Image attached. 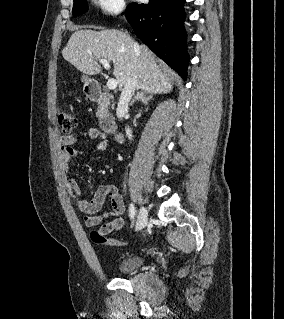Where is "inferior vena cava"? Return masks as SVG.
Segmentation results:
<instances>
[{
	"label": "inferior vena cava",
	"instance_id": "inferior-vena-cava-1",
	"mask_svg": "<svg viewBox=\"0 0 284 319\" xmlns=\"http://www.w3.org/2000/svg\"><path fill=\"white\" fill-rule=\"evenodd\" d=\"M137 44L134 43V49H137ZM138 85V80H137V75L133 71L132 76L127 80L126 85L122 89L119 102L117 105V114L119 116H123L125 113L128 112V107H129V102L135 92V89H137ZM126 133L129 139L132 138V132L131 129L127 128Z\"/></svg>",
	"mask_w": 284,
	"mask_h": 319
}]
</instances>
